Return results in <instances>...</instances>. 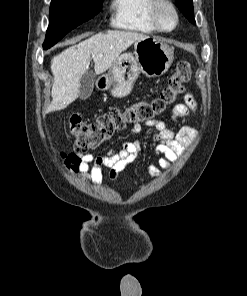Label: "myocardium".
<instances>
[{"instance_id": "f54148a6", "label": "myocardium", "mask_w": 247, "mask_h": 296, "mask_svg": "<svg viewBox=\"0 0 247 296\" xmlns=\"http://www.w3.org/2000/svg\"><path fill=\"white\" fill-rule=\"evenodd\" d=\"M168 9L173 16V25L164 27L161 20V12ZM151 18L156 28L161 32H172L179 24V16L175 5L170 0H154L151 7Z\"/></svg>"}]
</instances>
